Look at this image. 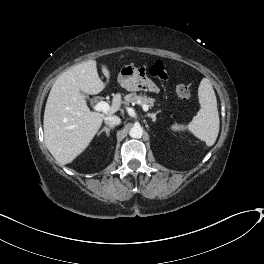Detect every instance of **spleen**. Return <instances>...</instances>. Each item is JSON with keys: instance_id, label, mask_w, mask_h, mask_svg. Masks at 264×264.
<instances>
[{"instance_id": "3e777b00", "label": "spleen", "mask_w": 264, "mask_h": 264, "mask_svg": "<svg viewBox=\"0 0 264 264\" xmlns=\"http://www.w3.org/2000/svg\"><path fill=\"white\" fill-rule=\"evenodd\" d=\"M200 110L188 125L174 124V131L188 130L194 136L204 141L207 146H212L219 133V114L217 99L211 82L203 78L198 88Z\"/></svg>"}]
</instances>
